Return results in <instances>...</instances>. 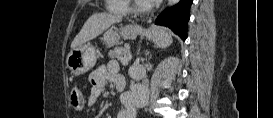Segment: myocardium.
Returning <instances> with one entry per match:
<instances>
[{"label":"myocardium","mask_w":273,"mask_h":118,"mask_svg":"<svg viewBox=\"0 0 273 118\" xmlns=\"http://www.w3.org/2000/svg\"><path fill=\"white\" fill-rule=\"evenodd\" d=\"M130 11L136 14H146L150 11V6L145 5H139L137 1L130 0Z\"/></svg>","instance_id":"myocardium-1"}]
</instances>
